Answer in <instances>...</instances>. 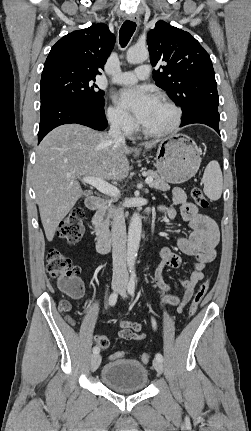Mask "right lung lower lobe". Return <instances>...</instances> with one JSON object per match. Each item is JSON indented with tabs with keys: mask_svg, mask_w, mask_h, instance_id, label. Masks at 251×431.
<instances>
[{
	"mask_svg": "<svg viewBox=\"0 0 251 431\" xmlns=\"http://www.w3.org/2000/svg\"><path fill=\"white\" fill-rule=\"evenodd\" d=\"M103 106H94L62 96L48 98L41 102V121L38 143L57 126L77 123L95 130H104L107 120Z\"/></svg>",
	"mask_w": 251,
	"mask_h": 431,
	"instance_id": "98d812e1",
	"label": "right lung lower lobe"
}]
</instances>
